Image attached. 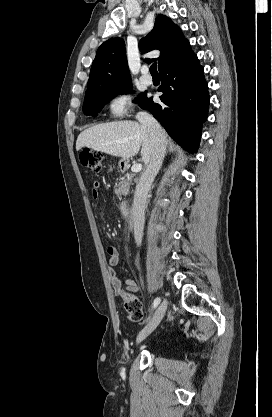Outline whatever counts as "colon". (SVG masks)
<instances>
[{"label":"colon","instance_id":"5ec220e1","mask_svg":"<svg viewBox=\"0 0 272 417\" xmlns=\"http://www.w3.org/2000/svg\"><path fill=\"white\" fill-rule=\"evenodd\" d=\"M80 162L95 173H99L103 169L101 153L90 148H85L81 151ZM122 299L124 300V308L128 319L132 322H139L143 317L142 305L139 299L126 291H122Z\"/></svg>","mask_w":272,"mask_h":417}]
</instances>
